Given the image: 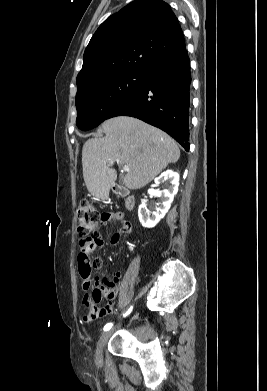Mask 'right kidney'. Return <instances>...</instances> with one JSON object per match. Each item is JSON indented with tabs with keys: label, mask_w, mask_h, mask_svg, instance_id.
Returning a JSON list of instances; mask_svg holds the SVG:
<instances>
[{
	"label": "right kidney",
	"mask_w": 267,
	"mask_h": 391,
	"mask_svg": "<svg viewBox=\"0 0 267 391\" xmlns=\"http://www.w3.org/2000/svg\"><path fill=\"white\" fill-rule=\"evenodd\" d=\"M161 183H166V188L164 190H148L150 195H156L160 198V202L157 203L156 211H148L146 204H141L139 206V221L145 228L154 227L170 209L174 196L178 192L179 174L172 170H167L155 179L156 185Z\"/></svg>",
	"instance_id": "right-kidney-1"
}]
</instances>
